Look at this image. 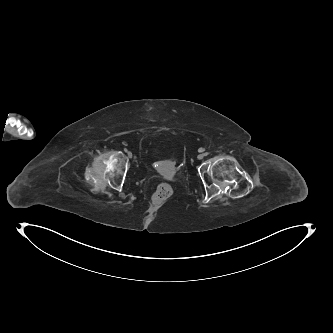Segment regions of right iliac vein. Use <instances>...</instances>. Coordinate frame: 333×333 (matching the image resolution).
<instances>
[{
    "label": "right iliac vein",
    "instance_id": "1",
    "mask_svg": "<svg viewBox=\"0 0 333 333\" xmlns=\"http://www.w3.org/2000/svg\"><path fill=\"white\" fill-rule=\"evenodd\" d=\"M127 154H128V157H129V158H132V153H131L130 151H129ZM135 158H136V157H135Z\"/></svg>",
    "mask_w": 333,
    "mask_h": 333
}]
</instances>
